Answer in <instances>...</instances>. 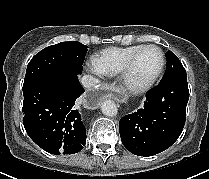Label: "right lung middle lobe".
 <instances>
[{
    "mask_svg": "<svg viewBox=\"0 0 209 179\" xmlns=\"http://www.w3.org/2000/svg\"><path fill=\"white\" fill-rule=\"evenodd\" d=\"M86 51L87 46L77 41L61 42L41 50L27 66L24 96L48 75L61 71L81 74Z\"/></svg>",
    "mask_w": 209,
    "mask_h": 179,
    "instance_id": "dd1d6c3e",
    "label": "right lung middle lobe"
}]
</instances>
